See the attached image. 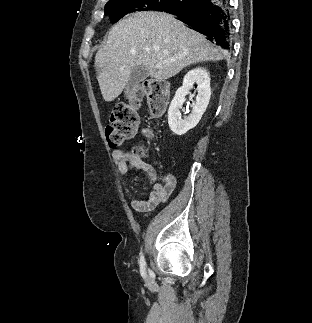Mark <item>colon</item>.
I'll list each match as a JSON object with an SVG mask.
<instances>
[{
	"instance_id": "obj_1",
	"label": "colon",
	"mask_w": 312,
	"mask_h": 323,
	"mask_svg": "<svg viewBox=\"0 0 312 323\" xmlns=\"http://www.w3.org/2000/svg\"><path fill=\"white\" fill-rule=\"evenodd\" d=\"M143 93L150 94L151 113L159 116L165 108L168 98V89L162 79L146 80L143 83ZM141 102L140 91L132 93L127 101L116 104L110 112L109 124L105 130L106 142L112 148L120 147L131 139L139 125L138 105ZM135 154L143 158L146 149L137 147Z\"/></svg>"
}]
</instances>
